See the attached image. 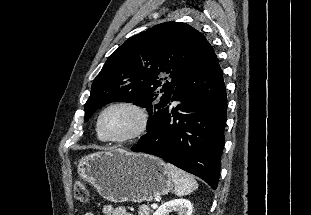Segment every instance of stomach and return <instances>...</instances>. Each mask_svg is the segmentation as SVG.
Masks as SVG:
<instances>
[{
    "mask_svg": "<svg viewBox=\"0 0 311 215\" xmlns=\"http://www.w3.org/2000/svg\"><path fill=\"white\" fill-rule=\"evenodd\" d=\"M79 175L112 202L153 200L166 195L172 180L165 163L152 155L111 149L79 160Z\"/></svg>",
    "mask_w": 311,
    "mask_h": 215,
    "instance_id": "1",
    "label": "stomach"
}]
</instances>
